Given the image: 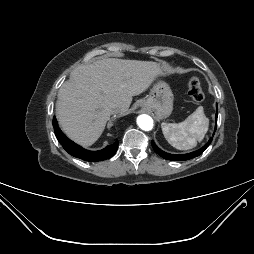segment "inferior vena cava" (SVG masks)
I'll return each mask as SVG.
<instances>
[{
    "instance_id": "inferior-vena-cava-1",
    "label": "inferior vena cava",
    "mask_w": 254,
    "mask_h": 254,
    "mask_svg": "<svg viewBox=\"0 0 254 254\" xmlns=\"http://www.w3.org/2000/svg\"><path fill=\"white\" fill-rule=\"evenodd\" d=\"M121 109L122 108L120 106H116V107L113 108L112 111H113V113H119L121 111Z\"/></svg>"
}]
</instances>
